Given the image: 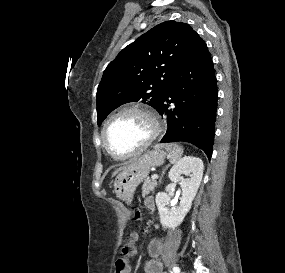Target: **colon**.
I'll return each instance as SVG.
<instances>
[{"label":"colon","instance_id":"1","mask_svg":"<svg viewBox=\"0 0 285 273\" xmlns=\"http://www.w3.org/2000/svg\"><path fill=\"white\" fill-rule=\"evenodd\" d=\"M134 218L138 219L141 213V208H134ZM136 235L130 237L129 242L122 249V257L115 262V273H130V260L136 253Z\"/></svg>","mask_w":285,"mask_h":273}]
</instances>
